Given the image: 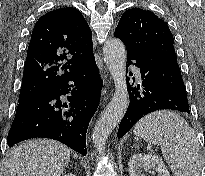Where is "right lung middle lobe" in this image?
<instances>
[{"instance_id": "right-lung-middle-lobe-1", "label": "right lung middle lobe", "mask_w": 205, "mask_h": 176, "mask_svg": "<svg viewBox=\"0 0 205 176\" xmlns=\"http://www.w3.org/2000/svg\"><path fill=\"white\" fill-rule=\"evenodd\" d=\"M31 98H28V99H19V104H18V107H17V111L19 109H21ZM16 111V112H17Z\"/></svg>"}]
</instances>
